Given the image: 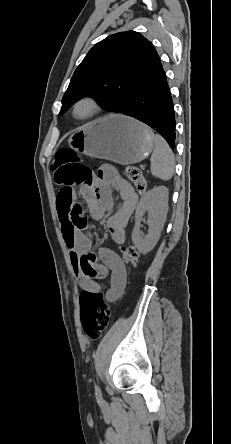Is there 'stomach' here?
Wrapping results in <instances>:
<instances>
[{
    "label": "stomach",
    "instance_id": "stomach-1",
    "mask_svg": "<svg viewBox=\"0 0 231 444\" xmlns=\"http://www.w3.org/2000/svg\"><path fill=\"white\" fill-rule=\"evenodd\" d=\"M80 154L130 165L144 160L154 149V134L138 120L113 114L99 119L68 139Z\"/></svg>",
    "mask_w": 231,
    "mask_h": 444
}]
</instances>
